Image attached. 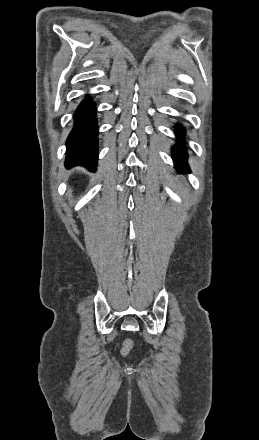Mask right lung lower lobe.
<instances>
[{"label":"right lung lower lobe","mask_w":259,"mask_h":440,"mask_svg":"<svg viewBox=\"0 0 259 440\" xmlns=\"http://www.w3.org/2000/svg\"><path fill=\"white\" fill-rule=\"evenodd\" d=\"M94 103L87 97L74 115V127L67 140V168L81 165L95 171L98 158V130Z\"/></svg>","instance_id":"right-lung-lower-lobe-1"}]
</instances>
